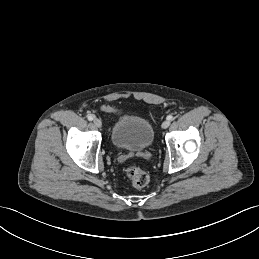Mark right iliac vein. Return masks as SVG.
I'll return each mask as SVG.
<instances>
[{"label":"right iliac vein","mask_w":259,"mask_h":259,"mask_svg":"<svg viewBox=\"0 0 259 259\" xmlns=\"http://www.w3.org/2000/svg\"><path fill=\"white\" fill-rule=\"evenodd\" d=\"M93 123H94V125H95L96 127H98V128H101V127H102V122H101V120L98 119V118H95V119L93 120Z\"/></svg>","instance_id":"63e3f726"}]
</instances>
